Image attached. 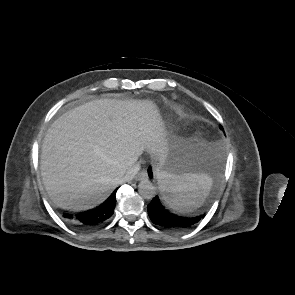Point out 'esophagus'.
Masks as SVG:
<instances>
[{"mask_svg":"<svg viewBox=\"0 0 295 295\" xmlns=\"http://www.w3.org/2000/svg\"><path fill=\"white\" fill-rule=\"evenodd\" d=\"M148 178V174L146 171H141L137 174L136 179L137 180H142Z\"/></svg>","mask_w":295,"mask_h":295,"instance_id":"obj_1","label":"esophagus"}]
</instances>
